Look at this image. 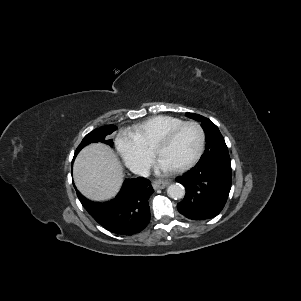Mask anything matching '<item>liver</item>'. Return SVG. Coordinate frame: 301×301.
<instances>
[{"label":"liver","mask_w":301,"mask_h":301,"mask_svg":"<svg viewBox=\"0 0 301 301\" xmlns=\"http://www.w3.org/2000/svg\"><path fill=\"white\" fill-rule=\"evenodd\" d=\"M77 189L88 199L104 201L114 197L123 182L122 166L114 151L102 143L81 150L73 167Z\"/></svg>","instance_id":"6515ba94"}]
</instances>
